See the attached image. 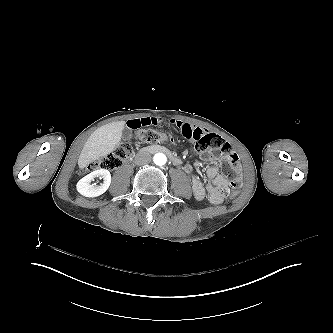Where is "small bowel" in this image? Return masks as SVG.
Segmentation results:
<instances>
[{
    "instance_id": "obj_1",
    "label": "small bowel",
    "mask_w": 333,
    "mask_h": 333,
    "mask_svg": "<svg viewBox=\"0 0 333 333\" xmlns=\"http://www.w3.org/2000/svg\"><path fill=\"white\" fill-rule=\"evenodd\" d=\"M163 123V119L161 117H143L139 119H133L128 122L130 127H144V126H159ZM176 125L180 126L183 131L189 132H199L204 133L200 128H192L189 124L178 121L175 122ZM206 160H214L220 162L223 157L206 155ZM184 171L192 176V166L190 164H186L184 166ZM208 181L203 183L198 177L192 176V189L196 199L203 200L206 196L210 203L214 205H220L223 203L226 196L229 194V181L228 178L219 173V168L217 165H212L208 167L206 171Z\"/></svg>"
}]
</instances>
